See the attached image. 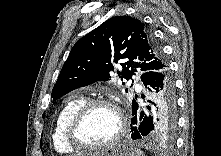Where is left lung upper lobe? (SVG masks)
<instances>
[{
  "instance_id": "1",
  "label": "left lung upper lobe",
  "mask_w": 221,
  "mask_h": 156,
  "mask_svg": "<svg viewBox=\"0 0 221 156\" xmlns=\"http://www.w3.org/2000/svg\"><path fill=\"white\" fill-rule=\"evenodd\" d=\"M121 59L126 62L121 63L122 71L117 73L126 80L136 73L142 75L167 65L159 45L140 20L129 16L112 17L75 43L51 97L58 99L79 87L108 81L114 71L112 62Z\"/></svg>"
}]
</instances>
